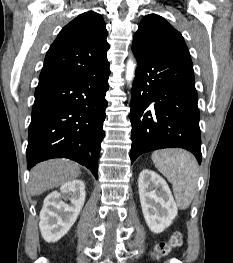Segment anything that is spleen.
Here are the masks:
<instances>
[{
  "mask_svg": "<svg viewBox=\"0 0 233 263\" xmlns=\"http://www.w3.org/2000/svg\"><path fill=\"white\" fill-rule=\"evenodd\" d=\"M155 167L172 183L178 207L187 209L191 204L198 179L195 157L182 149H165L152 154Z\"/></svg>",
  "mask_w": 233,
  "mask_h": 263,
  "instance_id": "3e777b00",
  "label": "spleen"
}]
</instances>
